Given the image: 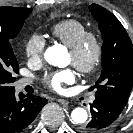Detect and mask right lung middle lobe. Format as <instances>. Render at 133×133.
Here are the masks:
<instances>
[{
    "instance_id": "right-lung-middle-lobe-1",
    "label": "right lung middle lobe",
    "mask_w": 133,
    "mask_h": 133,
    "mask_svg": "<svg viewBox=\"0 0 133 133\" xmlns=\"http://www.w3.org/2000/svg\"><path fill=\"white\" fill-rule=\"evenodd\" d=\"M31 12L32 8H0V96L15 90L12 83L16 80L14 73H18V62L11 42Z\"/></svg>"
}]
</instances>
